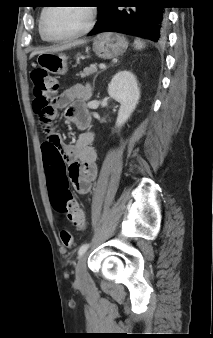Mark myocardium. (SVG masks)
<instances>
[{
	"label": "myocardium",
	"mask_w": 213,
	"mask_h": 338,
	"mask_svg": "<svg viewBox=\"0 0 213 338\" xmlns=\"http://www.w3.org/2000/svg\"><path fill=\"white\" fill-rule=\"evenodd\" d=\"M53 6H54V4L47 5L46 9L44 10V12H43V14L41 15V18H40L39 32H40L42 38L45 41L57 43V42H64V41H70V40L78 39V38L86 35L93 28L94 22H95V17H96V10L90 4H85L84 8L87 10L88 20H87L86 25L81 30H79L76 33L64 36V37H58V38L48 37L45 33V20H46L47 14L53 8Z\"/></svg>",
	"instance_id": "obj_1"
}]
</instances>
